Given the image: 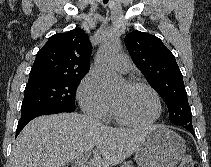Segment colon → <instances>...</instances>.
<instances>
[{
	"label": "colon",
	"instance_id": "obj_1",
	"mask_svg": "<svg viewBox=\"0 0 211 167\" xmlns=\"http://www.w3.org/2000/svg\"><path fill=\"white\" fill-rule=\"evenodd\" d=\"M178 167H198V165L191 155H185L179 163Z\"/></svg>",
	"mask_w": 211,
	"mask_h": 167
}]
</instances>
